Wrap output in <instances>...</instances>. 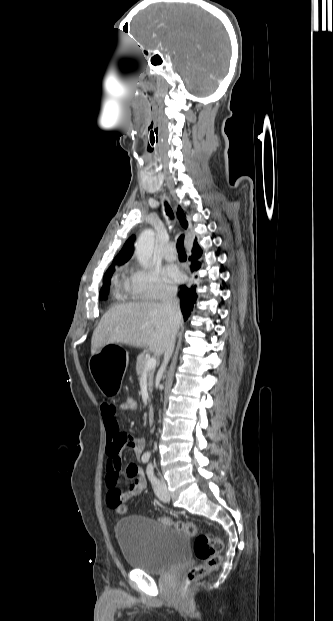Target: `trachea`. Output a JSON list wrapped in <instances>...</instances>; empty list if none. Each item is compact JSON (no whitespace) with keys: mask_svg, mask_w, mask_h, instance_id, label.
Instances as JSON below:
<instances>
[{"mask_svg":"<svg viewBox=\"0 0 333 621\" xmlns=\"http://www.w3.org/2000/svg\"><path fill=\"white\" fill-rule=\"evenodd\" d=\"M165 211L166 214L172 219L173 218V212L171 207L168 205L167 202H165ZM177 251L180 255H185V249H184V238L183 236H180L177 240Z\"/></svg>","mask_w":333,"mask_h":621,"instance_id":"trachea-1","label":"trachea"}]
</instances>
